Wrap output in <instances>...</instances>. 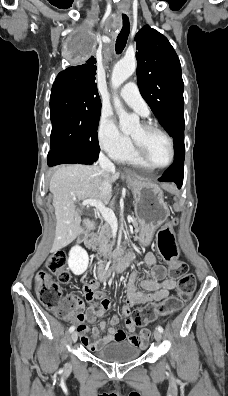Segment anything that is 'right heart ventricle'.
Returning a JSON list of instances; mask_svg holds the SVG:
<instances>
[{
  "label": "right heart ventricle",
  "mask_w": 228,
  "mask_h": 396,
  "mask_svg": "<svg viewBox=\"0 0 228 396\" xmlns=\"http://www.w3.org/2000/svg\"><path fill=\"white\" fill-rule=\"evenodd\" d=\"M120 161L131 163L138 167H145L135 156L133 150H130Z\"/></svg>",
  "instance_id": "e07e8e85"
}]
</instances>
